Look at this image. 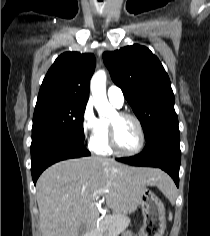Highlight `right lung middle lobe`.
<instances>
[{
    "label": "right lung middle lobe",
    "mask_w": 210,
    "mask_h": 236,
    "mask_svg": "<svg viewBox=\"0 0 210 236\" xmlns=\"http://www.w3.org/2000/svg\"><path fill=\"white\" fill-rule=\"evenodd\" d=\"M86 102L53 99L37 102L32 127V139L60 135L83 143V114Z\"/></svg>",
    "instance_id": "right-lung-middle-lobe-1"
}]
</instances>
